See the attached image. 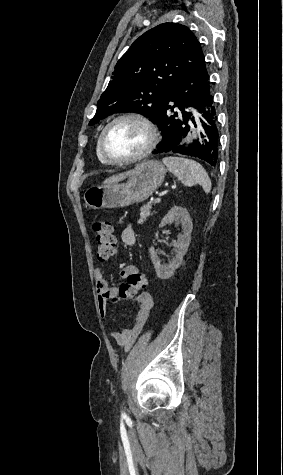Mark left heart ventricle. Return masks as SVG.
Listing matches in <instances>:
<instances>
[{
  "label": "left heart ventricle",
  "instance_id": "1",
  "mask_svg": "<svg viewBox=\"0 0 283 475\" xmlns=\"http://www.w3.org/2000/svg\"><path fill=\"white\" fill-rule=\"evenodd\" d=\"M149 130L141 122L127 119L110 127L104 137V149L111 158H125L141 152L149 141Z\"/></svg>",
  "mask_w": 283,
  "mask_h": 475
}]
</instances>
